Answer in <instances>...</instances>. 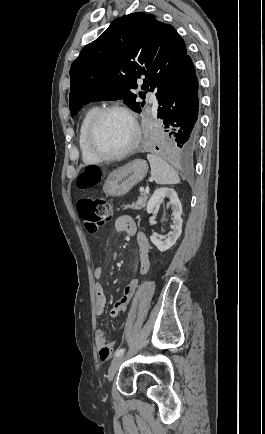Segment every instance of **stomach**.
Instances as JSON below:
<instances>
[{"label":"stomach","mask_w":265,"mask_h":434,"mask_svg":"<svg viewBox=\"0 0 265 434\" xmlns=\"http://www.w3.org/2000/svg\"><path fill=\"white\" fill-rule=\"evenodd\" d=\"M147 172L148 164L145 160H132L107 176L103 192L107 196H125L133 186L145 178Z\"/></svg>","instance_id":"stomach-1"}]
</instances>
